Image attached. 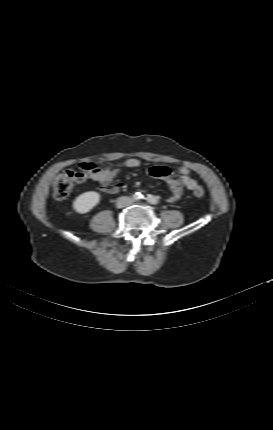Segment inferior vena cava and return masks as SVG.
Listing matches in <instances>:
<instances>
[{
  "label": "inferior vena cava",
  "instance_id": "inferior-vena-cava-1",
  "mask_svg": "<svg viewBox=\"0 0 273 430\" xmlns=\"http://www.w3.org/2000/svg\"><path fill=\"white\" fill-rule=\"evenodd\" d=\"M133 202H134V200L129 198V197H121L120 198V205L121 206L131 205Z\"/></svg>",
  "mask_w": 273,
  "mask_h": 430
}]
</instances>
